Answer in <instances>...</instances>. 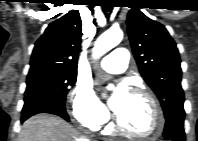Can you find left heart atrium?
<instances>
[{"mask_svg": "<svg viewBox=\"0 0 198 141\" xmlns=\"http://www.w3.org/2000/svg\"><path fill=\"white\" fill-rule=\"evenodd\" d=\"M130 96L129 89L126 83H120L116 87L113 96L110 99L109 105L110 107L117 112L123 103L128 99Z\"/></svg>", "mask_w": 198, "mask_h": 141, "instance_id": "obj_1", "label": "left heart atrium"}]
</instances>
